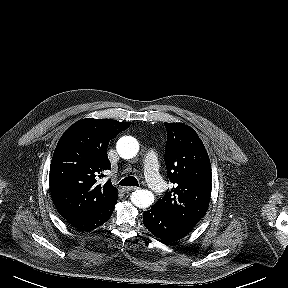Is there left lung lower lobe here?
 <instances>
[{
    "label": "left lung lower lobe",
    "instance_id": "obj_1",
    "mask_svg": "<svg viewBox=\"0 0 288 288\" xmlns=\"http://www.w3.org/2000/svg\"><path fill=\"white\" fill-rule=\"evenodd\" d=\"M143 224L153 235L165 242L177 241L185 237L193 228L158 210L155 205L144 212Z\"/></svg>",
    "mask_w": 288,
    "mask_h": 288
}]
</instances>
